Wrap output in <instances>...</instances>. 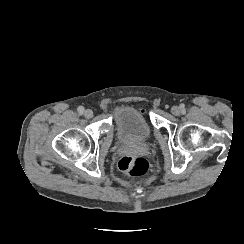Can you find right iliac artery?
I'll return each instance as SVG.
<instances>
[{
	"label": "right iliac artery",
	"instance_id": "obj_1",
	"mask_svg": "<svg viewBox=\"0 0 244 244\" xmlns=\"http://www.w3.org/2000/svg\"><path fill=\"white\" fill-rule=\"evenodd\" d=\"M77 110H78V112H79L80 114H83V112H84V107H83V106H79V107L77 108Z\"/></svg>",
	"mask_w": 244,
	"mask_h": 244
}]
</instances>
